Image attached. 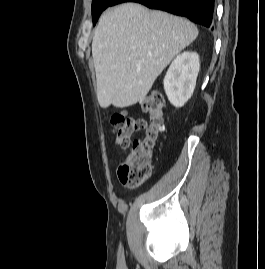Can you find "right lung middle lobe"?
Masks as SVG:
<instances>
[{
    "label": "right lung middle lobe",
    "mask_w": 265,
    "mask_h": 269,
    "mask_svg": "<svg viewBox=\"0 0 265 269\" xmlns=\"http://www.w3.org/2000/svg\"><path fill=\"white\" fill-rule=\"evenodd\" d=\"M114 0H93L92 2V17H93V24L97 22L100 14L104 11L107 7L111 5Z\"/></svg>",
    "instance_id": "1"
}]
</instances>
